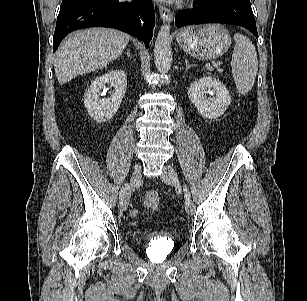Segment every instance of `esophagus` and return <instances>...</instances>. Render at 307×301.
Listing matches in <instances>:
<instances>
[{
	"instance_id": "1",
	"label": "esophagus",
	"mask_w": 307,
	"mask_h": 301,
	"mask_svg": "<svg viewBox=\"0 0 307 301\" xmlns=\"http://www.w3.org/2000/svg\"><path fill=\"white\" fill-rule=\"evenodd\" d=\"M159 13H160L161 19L164 22L170 23L172 21L173 13L169 8H167L163 5H159Z\"/></svg>"
}]
</instances>
